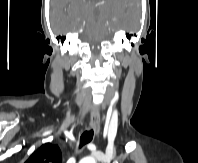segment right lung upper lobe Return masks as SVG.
I'll list each match as a JSON object with an SVG mask.
<instances>
[{"label":"right lung upper lobe","instance_id":"1","mask_svg":"<svg viewBox=\"0 0 198 163\" xmlns=\"http://www.w3.org/2000/svg\"><path fill=\"white\" fill-rule=\"evenodd\" d=\"M61 151L52 143L43 144L25 163H61Z\"/></svg>","mask_w":198,"mask_h":163}]
</instances>
